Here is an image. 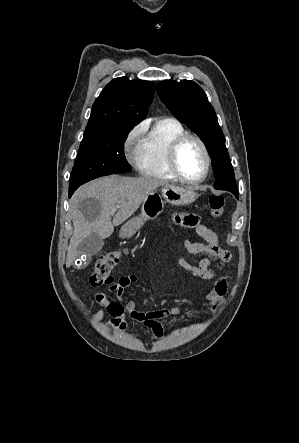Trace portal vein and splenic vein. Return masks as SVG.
Segmentation results:
<instances>
[{
	"instance_id": "obj_1",
	"label": "portal vein and splenic vein",
	"mask_w": 299,
	"mask_h": 443,
	"mask_svg": "<svg viewBox=\"0 0 299 443\" xmlns=\"http://www.w3.org/2000/svg\"><path fill=\"white\" fill-rule=\"evenodd\" d=\"M116 211H117V209L114 208V209H112V210L110 211V214H114Z\"/></svg>"
}]
</instances>
